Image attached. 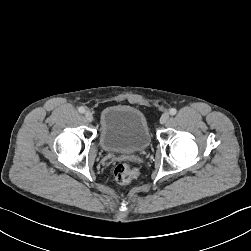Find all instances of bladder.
Here are the masks:
<instances>
[{
  "label": "bladder",
  "mask_w": 251,
  "mask_h": 251,
  "mask_svg": "<svg viewBox=\"0 0 251 251\" xmlns=\"http://www.w3.org/2000/svg\"><path fill=\"white\" fill-rule=\"evenodd\" d=\"M99 141L107 152L136 153L151 143V134L145 115L127 105L106 107L100 117Z\"/></svg>",
  "instance_id": "1"
}]
</instances>
